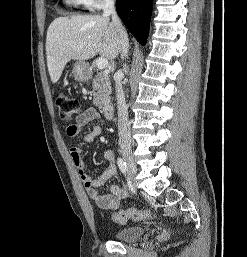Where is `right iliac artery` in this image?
<instances>
[{
	"instance_id": "82829eb1",
	"label": "right iliac artery",
	"mask_w": 247,
	"mask_h": 257,
	"mask_svg": "<svg viewBox=\"0 0 247 257\" xmlns=\"http://www.w3.org/2000/svg\"><path fill=\"white\" fill-rule=\"evenodd\" d=\"M117 164L121 172L126 176V171H127L126 162L122 158H118Z\"/></svg>"
}]
</instances>
